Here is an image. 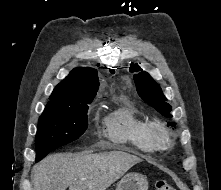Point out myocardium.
<instances>
[{"instance_id": "obj_1", "label": "myocardium", "mask_w": 221, "mask_h": 190, "mask_svg": "<svg viewBox=\"0 0 221 190\" xmlns=\"http://www.w3.org/2000/svg\"><path fill=\"white\" fill-rule=\"evenodd\" d=\"M148 142L156 149L167 148L172 144V135L167 126L158 119L148 120L145 124Z\"/></svg>"}]
</instances>
